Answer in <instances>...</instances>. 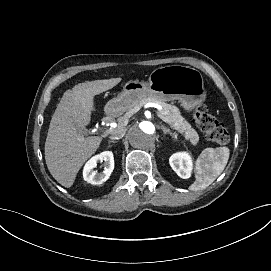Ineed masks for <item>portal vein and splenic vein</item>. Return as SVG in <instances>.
<instances>
[{"instance_id": "portal-vein-and-splenic-vein-1", "label": "portal vein and splenic vein", "mask_w": 271, "mask_h": 271, "mask_svg": "<svg viewBox=\"0 0 271 271\" xmlns=\"http://www.w3.org/2000/svg\"><path fill=\"white\" fill-rule=\"evenodd\" d=\"M156 116H158L159 118H161L163 121H165L166 124L170 125V121L165 118V116L161 115L160 113H156ZM111 131V128L108 129H103L101 131V135H107L109 132Z\"/></svg>"}]
</instances>
